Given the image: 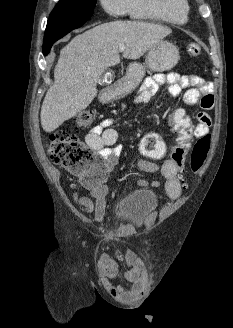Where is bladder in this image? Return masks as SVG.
Returning <instances> with one entry per match:
<instances>
[{"instance_id": "1", "label": "bladder", "mask_w": 233, "mask_h": 328, "mask_svg": "<svg viewBox=\"0 0 233 328\" xmlns=\"http://www.w3.org/2000/svg\"><path fill=\"white\" fill-rule=\"evenodd\" d=\"M157 207L158 197L155 192L135 188L121 198L118 215L125 221L138 224L143 222Z\"/></svg>"}]
</instances>
